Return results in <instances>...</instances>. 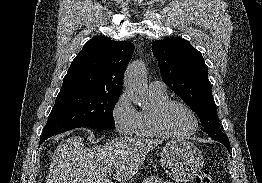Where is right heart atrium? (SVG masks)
I'll use <instances>...</instances> for the list:
<instances>
[{
    "mask_svg": "<svg viewBox=\"0 0 262 183\" xmlns=\"http://www.w3.org/2000/svg\"><path fill=\"white\" fill-rule=\"evenodd\" d=\"M111 117L119 134H134L138 121V111L125 92L121 93L116 99L111 110Z\"/></svg>",
    "mask_w": 262,
    "mask_h": 183,
    "instance_id": "1",
    "label": "right heart atrium"
}]
</instances>
